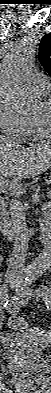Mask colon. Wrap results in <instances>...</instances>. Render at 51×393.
I'll return each instance as SVG.
<instances>
[{
	"mask_svg": "<svg viewBox=\"0 0 51 393\" xmlns=\"http://www.w3.org/2000/svg\"><path fill=\"white\" fill-rule=\"evenodd\" d=\"M8 324L10 328L14 330H24L27 326L26 321L18 315H11L8 319ZM42 332H40L41 334Z\"/></svg>",
	"mask_w": 51,
	"mask_h": 393,
	"instance_id": "colon-1",
	"label": "colon"
}]
</instances>
